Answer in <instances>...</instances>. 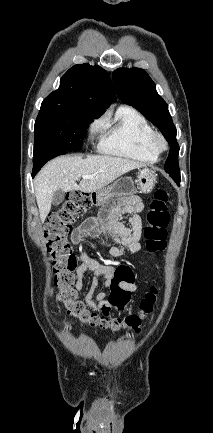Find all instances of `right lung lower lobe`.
<instances>
[{
  "label": "right lung lower lobe",
  "mask_w": 213,
  "mask_h": 433,
  "mask_svg": "<svg viewBox=\"0 0 213 433\" xmlns=\"http://www.w3.org/2000/svg\"><path fill=\"white\" fill-rule=\"evenodd\" d=\"M68 151L60 148H47L42 151L36 152L33 155V170L32 177L41 169V167L50 159L66 154Z\"/></svg>",
  "instance_id": "right-lung-lower-lobe-1"
}]
</instances>
